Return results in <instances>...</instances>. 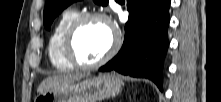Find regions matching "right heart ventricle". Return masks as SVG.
Returning a JSON list of instances; mask_svg holds the SVG:
<instances>
[{
	"label": "right heart ventricle",
	"mask_w": 221,
	"mask_h": 102,
	"mask_svg": "<svg viewBox=\"0 0 221 102\" xmlns=\"http://www.w3.org/2000/svg\"><path fill=\"white\" fill-rule=\"evenodd\" d=\"M79 15L76 8H67L59 16L48 39V55L52 65L59 71H69L74 67L63 55V41L66 30L75 17Z\"/></svg>",
	"instance_id": "e07e8e85"
}]
</instances>
